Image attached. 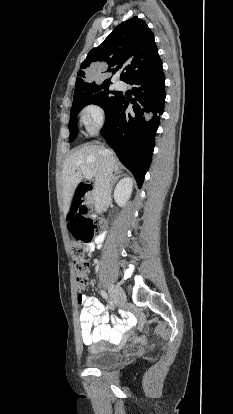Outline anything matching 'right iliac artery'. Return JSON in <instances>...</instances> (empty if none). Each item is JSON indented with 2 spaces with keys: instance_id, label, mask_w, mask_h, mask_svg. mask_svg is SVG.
I'll return each instance as SVG.
<instances>
[{
  "instance_id": "obj_1",
  "label": "right iliac artery",
  "mask_w": 233,
  "mask_h": 414,
  "mask_svg": "<svg viewBox=\"0 0 233 414\" xmlns=\"http://www.w3.org/2000/svg\"><path fill=\"white\" fill-rule=\"evenodd\" d=\"M101 295L103 296V298H105L106 300H109L108 299V295H107V293L104 291V290H101ZM110 304L111 305H113V303L110 301Z\"/></svg>"
}]
</instances>
